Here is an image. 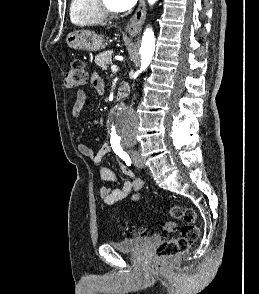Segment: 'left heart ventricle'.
<instances>
[{
	"mask_svg": "<svg viewBox=\"0 0 259 294\" xmlns=\"http://www.w3.org/2000/svg\"><path fill=\"white\" fill-rule=\"evenodd\" d=\"M104 1H105V4H106L109 8H111V9H113V10H117L116 7H115V5H114V1H113V0H104Z\"/></svg>",
	"mask_w": 259,
	"mask_h": 294,
	"instance_id": "left-heart-ventricle-1",
	"label": "left heart ventricle"
}]
</instances>
